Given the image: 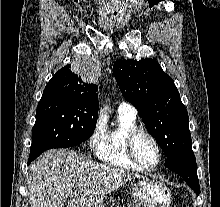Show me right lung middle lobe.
<instances>
[{"label": "right lung middle lobe", "instance_id": "right-lung-middle-lobe-1", "mask_svg": "<svg viewBox=\"0 0 220 207\" xmlns=\"http://www.w3.org/2000/svg\"><path fill=\"white\" fill-rule=\"evenodd\" d=\"M98 105L79 96L43 93L36 110L30 154L66 148L88 140L94 132Z\"/></svg>", "mask_w": 220, "mask_h": 207}]
</instances>
